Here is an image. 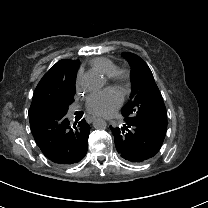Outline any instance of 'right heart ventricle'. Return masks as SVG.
<instances>
[{
	"mask_svg": "<svg viewBox=\"0 0 208 208\" xmlns=\"http://www.w3.org/2000/svg\"><path fill=\"white\" fill-rule=\"evenodd\" d=\"M91 67L99 70L107 78L113 77L118 71L116 64L108 58H96L90 62Z\"/></svg>",
	"mask_w": 208,
	"mask_h": 208,
	"instance_id": "right-heart-ventricle-1",
	"label": "right heart ventricle"
}]
</instances>
